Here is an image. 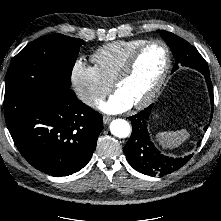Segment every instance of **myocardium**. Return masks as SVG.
<instances>
[{
  "mask_svg": "<svg viewBox=\"0 0 221 221\" xmlns=\"http://www.w3.org/2000/svg\"><path fill=\"white\" fill-rule=\"evenodd\" d=\"M153 44H159L164 48L165 54H166L165 66H164V69L162 71V74H161L157 84L152 89V91L144 99L133 104L136 108H144V107L150 105L161 93V91L167 81L168 75L170 73L171 65H172V55H171V50H170L169 46L163 40H160V39L147 40L146 42L141 44L139 47H137L129 55V57L125 61L123 67L121 68V70L119 71V73L117 74V76L115 77V79L113 81L114 87L116 89H118L119 85L132 74L135 64H136L140 54L147 47H149L150 45H153Z\"/></svg>",
  "mask_w": 221,
  "mask_h": 221,
  "instance_id": "obj_1",
  "label": "myocardium"
}]
</instances>
